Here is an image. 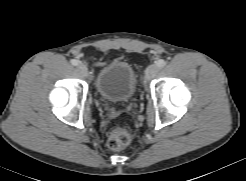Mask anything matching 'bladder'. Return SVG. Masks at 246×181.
<instances>
[{
	"instance_id": "1",
	"label": "bladder",
	"mask_w": 246,
	"mask_h": 181,
	"mask_svg": "<svg viewBox=\"0 0 246 181\" xmlns=\"http://www.w3.org/2000/svg\"><path fill=\"white\" fill-rule=\"evenodd\" d=\"M136 82L132 66L124 60L115 59L100 69L95 89L105 101L128 102L134 97Z\"/></svg>"
}]
</instances>
